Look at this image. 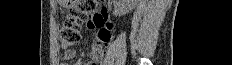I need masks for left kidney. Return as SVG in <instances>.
I'll use <instances>...</instances> for the list:
<instances>
[{"mask_svg":"<svg viewBox=\"0 0 232 65\" xmlns=\"http://www.w3.org/2000/svg\"><path fill=\"white\" fill-rule=\"evenodd\" d=\"M137 0H115L114 12L115 16H121L129 13L136 6Z\"/></svg>","mask_w":232,"mask_h":65,"instance_id":"1","label":"left kidney"}]
</instances>
